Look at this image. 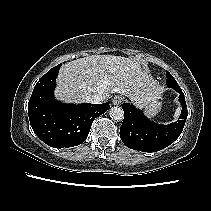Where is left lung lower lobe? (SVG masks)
Returning <instances> with one entry per match:
<instances>
[{
  "mask_svg": "<svg viewBox=\"0 0 211 211\" xmlns=\"http://www.w3.org/2000/svg\"><path fill=\"white\" fill-rule=\"evenodd\" d=\"M174 89L179 93L182 111L179 119L172 124L161 125L151 122L133 105L123 103L125 116L120 128V138L128 148L156 152L166 148L180 136L187 118V106L179 85Z\"/></svg>",
  "mask_w": 211,
  "mask_h": 211,
  "instance_id": "obj_1",
  "label": "left lung lower lobe"
}]
</instances>
